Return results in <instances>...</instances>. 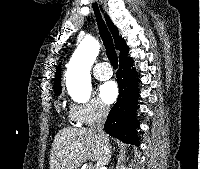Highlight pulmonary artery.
<instances>
[{
  "label": "pulmonary artery",
  "mask_w": 200,
  "mask_h": 169,
  "mask_svg": "<svg viewBox=\"0 0 200 169\" xmlns=\"http://www.w3.org/2000/svg\"><path fill=\"white\" fill-rule=\"evenodd\" d=\"M94 76L99 80H107L112 77V70L107 62H100L94 67Z\"/></svg>",
  "instance_id": "e3ab8cb5"
}]
</instances>
